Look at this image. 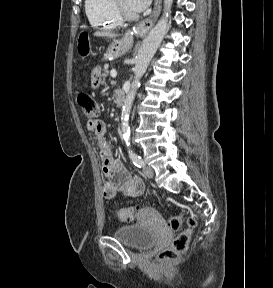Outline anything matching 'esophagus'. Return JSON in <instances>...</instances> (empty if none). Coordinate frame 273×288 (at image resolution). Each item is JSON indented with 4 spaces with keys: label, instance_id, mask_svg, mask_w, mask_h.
I'll return each instance as SVG.
<instances>
[{
    "label": "esophagus",
    "instance_id": "1",
    "mask_svg": "<svg viewBox=\"0 0 273 288\" xmlns=\"http://www.w3.org/2000/svg\"><path fill=\"white\" fill-rule=\"evenodd\" d=\"M161 7H162V0H155L152 14L147 19L138 24L133 30L129 29L126 33L127 34L135 33L139 34L140 36L145 35L152 28L157 18L159 17Z\"/></svg>",
    "mask_w": 273,
    "mask_h": 288
}]
</instances>
